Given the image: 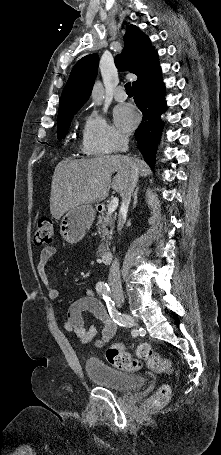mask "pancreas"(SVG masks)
Segmentation results:
<instances>
[{
	"instance_id": "1",
	"label": "pancreas",
	"mask_w": 221,
	"mask_h": 455,
	"mask_svg": "<svg viewBox=\"0 0 221 455\" xmlns=\"http://www.w3.org/2000/svg\"><path fill=\"white\" fill-rule=\"evenodd\" d=\"M114 222L115 218L108 214L106 216L102 214L98 217L96 226H98L101 235V244L97 249L98 255H102L104 253L107 245L110 243V240H112V235L115 228Z\"/></svg>"
}]
</instances>
